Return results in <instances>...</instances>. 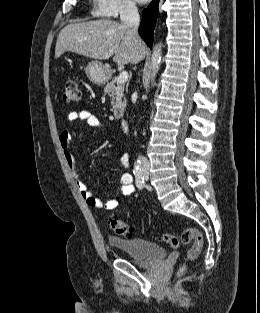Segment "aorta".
<instances>
[{
  "label": "aorta",
  "mask_w": 260,
  "mask_h": 313,
  "mask_svg": "<svg viewBox=\"0 0 260 313\" xmlns=\"http://www.w3.org/2000/svg\"><path fill=\"white\" fill-rule=\"evenodd\" d=\"M162 59V49L160 45H157L153 49V53L151 56V70H152V77L156 76L161 64Z\"/></svg>",
  "instance_id": "obj_1"
}]
</instances>
